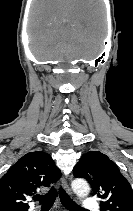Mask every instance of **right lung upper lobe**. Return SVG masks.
I'll return each instance as SVG.
<instances>
[{
    "instance_id": "cb5924a9",
    "label": "right lung upper lobe",
    "mask_w": 133,
    "mask_h": 211,
    "mask_svg": "<svg viewBox=\"0 0 133 211\" xmlns=\"http://www.w3.org/2000/svg\"><path fill=\"white\" fill-rule=\"evenodd\" d=\"M60 177V169L49 154H25L0 179V211H27L26 198Z\"/></svg>"
}]
</instances>
